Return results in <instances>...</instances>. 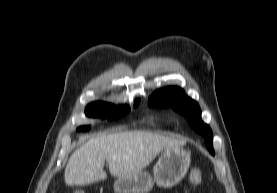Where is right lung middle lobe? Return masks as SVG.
<instances>
[{"instance_id": "obj_1", "label": "right lung middle lobe", "mask_w": 277, "mask_h": 193, "mask_svg": "<svg viewBox=\"0 0 277 193\" xmlns=\"http://www.w3.org/2000/svg\"><path fill=\"white\" fill-rule=\"evenodd\" d=\"M138 103L139 101L136 100L134 106L136 107ZM128 111H130V107L127 105L114 106L103 102H93L86 107L85 113L89 117H100L102 119L107 118L108 120H114L122 117ZM89 129L90 126H81L78 128L79 131H87Z\"/></svg>"}]
</instances>
